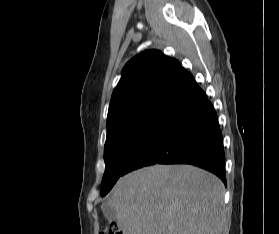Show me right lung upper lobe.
<instances>
[{
	"instance_id": "1",
	"label": "right lung upper lobe",
	"mask_w": 279,
	"mask_h": 234,
	"mask_svg": "<svg viewBox=\"0 0 279 234\" xmlns=\"http://www.w3.org/2000/svg\"><path fill=\"white\" fill-rule=\"evenodd\" d=\"M196 84L180 63L158 50H147L123 68L113 91L107 121L127 111L158 105L171 107Z\"/></svg>"
}]
</instances>
